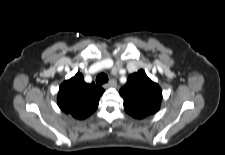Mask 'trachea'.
I'll use <instances>...</instances> for the list:
<instances>
[{
    "mask_svg": "<svg viewBox=\"0 0 225 155\" xmlns=\"http://www.w3.org/2000/svg\"><path fill=\"white\" fill-rule=\"evenodd\" d=\"M108 82V76L105 73H100L96 77V84L102 85Z\"/></svg>",
    "mask_w": 225,
    "mask_h": 155,
    "instance_id": "3493384b",
    "label": "trachea"
}]
</instances>
